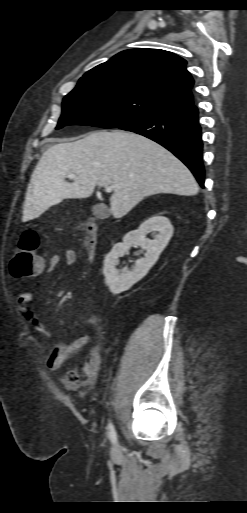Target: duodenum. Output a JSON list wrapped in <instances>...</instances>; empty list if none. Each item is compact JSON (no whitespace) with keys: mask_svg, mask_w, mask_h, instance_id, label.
Segmentation results:
<instances>
[{"mask_svg":"<svg viewBox=\"0 0 247 513\" xmlns=\"http://www.w3.org/2000/svg\"><path fill=\"white\" fill-rule=\"evenodd\" d=\"M85 231L88 235V254L91 258H94L97 249L98 226L93 219L86 222Z\"/></svg>","mask_w":247,"mask_h":513,"instance_id":"410a0bca","label":"duodenum"}]
</instances>
